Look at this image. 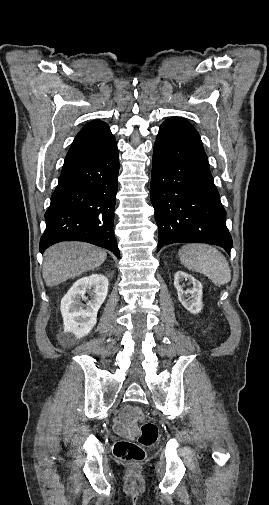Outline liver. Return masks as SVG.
Segmentation results:
<instances>
[{
	"label": "liver",
	"mask_w": 269,
	"mask_h": 505,
	"mask_svg": "<svg viewBox=\"0 0 269 505\" xmlns=\"http://www.w3.org/2000/svg\"><path fill=\"white\" fill-rule=\"evenodd\" d=\"M107 253L84 242H61L44 253L43 278L52 287L99 267Z\"/></svg>",
	"instance_id": "liver-1"
}]
</instances>
